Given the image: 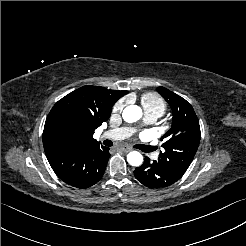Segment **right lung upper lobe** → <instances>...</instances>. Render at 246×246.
Instances as JSON below:
<instances>
[{
  "label": "right lung upper lobe",
  "mask_w": 246,
  "mask_h": 246,
  "mask_svg": "<svg viewBox=\"0 0 246 246\" xmlns=\"http://www.w3.org/2000/svg\"><path fill=\"white\" fill-rule=\"evenodd\" d=\"M126 91L84 86L59 100L47 116L43 131L45 152L56 147L99 144L93 134L109 119L113 104Z\"/></svg>",
  "instance_id": "right-lung-upper-lobe-1"
}]
</instances>
